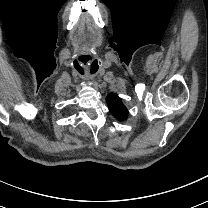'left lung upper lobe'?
I'll return each instance as SVG.
<instances>
[{
    "label": "left lung upper lobe",
    "mask_w": 208,
    "mask_h": 208,
    "mask_svg": "<svg viewBox=\"0 0 208 208\" xmlns=\"http://www.w3.org/2000/svg\"><path fill=\"white\" fill-rule=\"evenodd\" d=\"M110 112L119 120H125L128 116V110L123 105L121 98L115 94H110L106 98Z\"/></svg>",
    "instance_id": "left-lung-upper-lobe-1"
}]
</instances>
